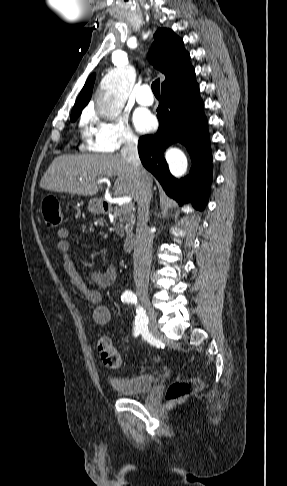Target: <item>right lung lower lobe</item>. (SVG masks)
I'll use <instances>...</instances> for the list:
<instances>
[{
    "instance_id": "1",
    "label": "right lung lower lobe",
    "mask_w": 287,
    "mask_h": 486,
    "mask_svg": "<svg viewBox=\"0 0 287 486\" xmlns=\"http://www.w3.org/2000/svg\"><path fill=\"white\" fill-rule=\"evenodd\" d=\"M157 112V133L139 139L141 162L179 204L192 202L194 208L203 210L212 180V155L195 76L174 87L162 89ZM176 142L186 146L192 160L190 175L181 180L170 174L164 159L165 149Z\"/></svg>"
}]
</instances>
